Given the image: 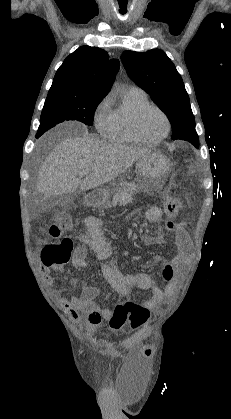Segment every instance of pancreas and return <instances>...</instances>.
<instances>
[{
    "label": "pancreas",
    "mask_w": 231,
    "mask_h": 419,
    "mask_svg": "<svg viewBox=\"0 0 231 419\" xmlns=\"http://www.w3.org/2000/svg\"><path fill=\"white\" fill-rule=\"evenodd\" d=\"M118 185L119 186L116 188L112 201H107L105 207L109 208L118 204L126 205L133 203L134 192L132 191V188L134 187V184L121 181Z\"/></svg>",
    "instance_id": "obj_1"
}]
</instances>
